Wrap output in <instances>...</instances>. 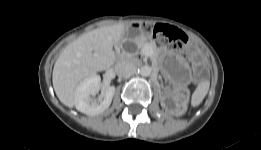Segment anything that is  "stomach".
I'll return each instance as SVG.
<instances>
[{
  "label": "stomach",
  "mask_w": 261,
  "mask_h": 150,
  "mask_svg": "<svg viewBox=\"0 0 261 150\" xmlns=\"http://www.w3.org/2000/svg\"><path fill=\"white\" fill-rule=\"evenodd\" d=\"M132 37L137 39L138 38V34L136 32L132 33Z\"/></svg>",
  "instance_id": "1"
}]
</instances>
